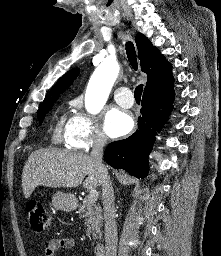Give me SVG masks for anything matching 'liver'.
Instances as JSON below:
<instances>
[{"label": "liver", "mask_w": 221, "mask_h": 256, "mask_svg": "<svg viewBox=\"0 0 221 256\" xmlns=\"http://www.w3.org/2000/svg\"><path fill=\"white\" fill-rule=\"evenodd\" d=\"M88 177L83 182L85 176ZM83 182L87 189L102 185L93 158L67 150H37L31 153L22 172V189L28 199L37 186L74 188Z\"/></svg>", "instance_id": "6515ba94"}]
</instances>
